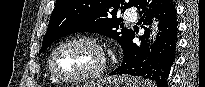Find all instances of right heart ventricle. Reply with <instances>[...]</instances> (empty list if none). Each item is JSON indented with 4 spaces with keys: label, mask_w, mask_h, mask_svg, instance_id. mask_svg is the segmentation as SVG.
I'll list each match as a JSON object with an SVG mask.
<instances>
[{
    "label": "right heart ventricle",
    "mask_w": 205,
    "mask_h": 87,
    "mask_svg": "<svg viewBox=\"0 0 205 87\" xmlns=\"http://www.w3.org/2000/svg\"><path fill=\"white\" fill-rule=\"evenodd\" d=\"M49 72H50V70H49ZM50 78H51V81H52L53 83H55V84L59 83V81L56 80V79L51 75V73H50Z\"/></svg>",
    "instance_id": "obj_1"
}]
</instances>
